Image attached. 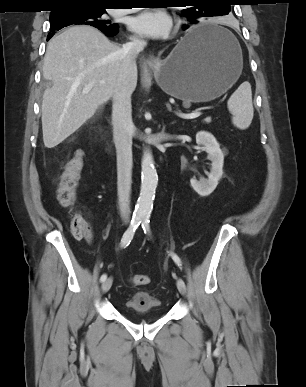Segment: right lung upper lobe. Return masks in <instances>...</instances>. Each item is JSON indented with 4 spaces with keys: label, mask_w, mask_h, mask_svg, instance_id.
<instances>
[{
    "label": "right lung upper lobe",
    "mask_w": 306,
    "mask_h": 387,
    "mask_svg": "<svg viewBox=\"0 0 306 387\" xmlns=\"http://www.w3.org/2000/svg\"><path fill=\"white\" fill-rule=\"evenodd\" d=\"M57 9L51 11L59 12L60 9L73 6H99L105 7L110 4V0H55Z\"/></svg>",
    "instance_id": "obj_1"
}]
</instances>
